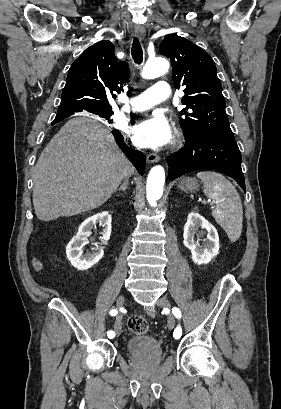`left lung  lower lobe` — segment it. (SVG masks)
Instances as JSON below:
<instances>
[{
  "label": "left lung lower lobe",
  "mask_w": 281,
  "mask_h": 409,
  "mask_svg": "<svg viewBox=\"0 0 281 409\" xmlns=\"http://www.w3.org/2000/svg\"><path fill=\"white\" fill-rule=\"evenodd\" d=\"M168 180L201 169L218 170L234 178L246 192L241 154L235 139L199 134L187 138V146L168 159Z\"/></svg>",
  "instance_id": "1"
}]
</instances>
